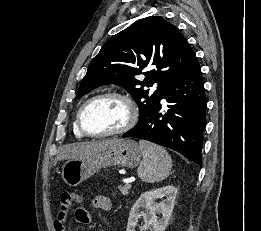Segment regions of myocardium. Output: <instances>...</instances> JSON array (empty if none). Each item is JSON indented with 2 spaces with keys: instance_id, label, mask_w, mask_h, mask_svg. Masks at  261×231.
I'll return each instance as SVG.
<instances>
[{
  "instance_id": "myocardium-1",
  "label": "myocardium",
  "mask_w": 261,
  "mask_h": 231,
  "mask_svg": "<svg viewBox=\"0 0 261 231\" xmlns=\"http://www.w3.org/2000/svg\"><path fill=\"white\" fill-rule=\"evenodd\" d=\"M104 98H119L123 100L129 109V119L127 123L121 127L120 129L114 130V131H109L105 133H92L89 132L83 123V115L86 111V109L92 105L94 102L104 99ZM138 120V108L136 106V103L134 100L125 93L122 92H117V91H110V92H105L98 94L90 99H88L79 109L76 117V123L78 130L80 131L81 134H83L86 137H91V138H104V137H109V136H117V135H122L130 131L136 124Z\"/></svg>"
}]
</instances>
